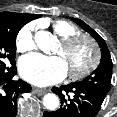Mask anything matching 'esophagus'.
I'll list each match as a JSON object with an SVG mask.
<instances>
[{
    "label": "esophagus",
    "instance_id": "esophagus-1",
    "mask_svg": "<svg viewBox=\"0 0 117 117\" xmlns=\"http://www.w3.org/2000/svg\"><path fill=\"white\" fill-rule=\"evenodd\" d=\"M33 92L36 93L37 95H44L47 92V90L39 89V88H33Z\"/></svg>",
    "mask_w": 117,
    "mask_h": 117
}]
</instances>
